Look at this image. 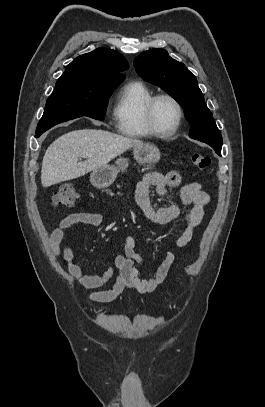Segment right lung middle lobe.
I'll return each mask as SVG.
<instances>
[{"mask_svg":"<svg viewBox=\"0 0 265 407\" xmlns=\"http://www.w3.org/2000/svg\"><path fill=\"white\" fill-rule=\"evenodd\" d=\"M120 83L77 82L71 78H59L49 96L40 119L36 136L51 127L82 116L103 120L108 99Z\"/></svg>","mask_w":265,"mask_h":407,"instance_id":"right-lung-middle-lobe-1","label":"right lung middle lobe"}]
</instances>
